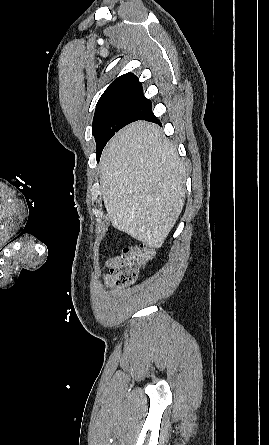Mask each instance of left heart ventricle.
Returning <instances> with one entry per match:
<instances>
[{
    "instance_id": "b2bd125f",
    "label": "left heart ventricle",
    "mask_w": 269,
    "mask_h": 445,
    "mask_svg": "<svg viewBox=\"0 0 269 445\" xmlns=\"http://www.w3.org/2000/svg\"><path fill=\"white\" fill-rule=\"evenodd\" d=\"M2 236V232H0V237Z\"/></svg>"
}]
</instances>
